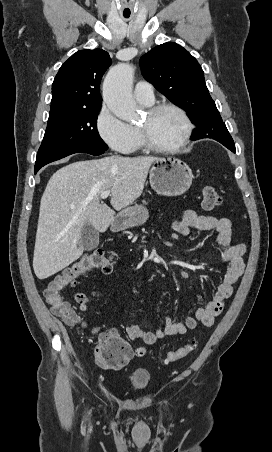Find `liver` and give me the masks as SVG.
I'll use <instances>...</instances> for the list:
<instances>
[{
    "mask_svg": "<svg viewBox=\"0 0 272 452\" xmlns=\"http://www.w3.org/2000/svg\"><path fill=\"white\" fill-rule=\"evenodd\" d=\"M158 158L107 156L83 160L57 170L42 195L33 269L46 279L76 261L83 253L81 230L90 223L105 232L115 211L103 204L102 192L110 190L116 211L140 197L148 171Z\"/></svg>",
    "mask_w": 272,
    "mask_h": 452,
    "instance_id": "6515ba94",
    "label": "liver"
}]
</instances>
